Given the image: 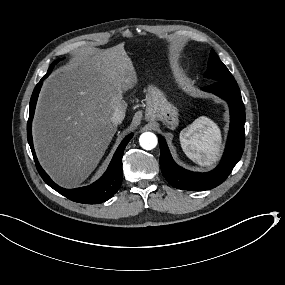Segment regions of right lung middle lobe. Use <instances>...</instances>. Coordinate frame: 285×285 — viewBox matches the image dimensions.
Instances as JSON below:
<instances>
[{"instance_id":"obj_1","label":"right lung middle lobe","mask_w":285,"mask_h":285,"mask_svg":"<svg viewBox=\"0 0 285 285\" xmlns=\"http://www.w3.org/2000/svg\"><path fill=\"white\" fill-rule=\"evenodd\" d=\"M59 61H60V59H58V60L54 61V62L50 65V67H49V69H48V72H47L46 76H47V75H49V74L51 73V71H52V69L54 68L55 64H57Z\"/></svg>"}]
</instances>
